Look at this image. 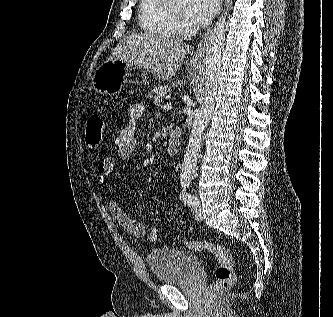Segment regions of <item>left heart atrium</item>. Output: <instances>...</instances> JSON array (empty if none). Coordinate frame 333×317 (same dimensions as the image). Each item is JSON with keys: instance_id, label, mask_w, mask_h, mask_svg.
<instances>
[{"instance_id": "1", "label": "left heart atrium", "mask_w": 333, "mask_h": 317, "mask_svg": "<svg viewBox=\"0 0 333 317\" xmlns=\"http://www.w3.org/2000/svg\"><path fill=\"white\" fill-rule=\"evenodd\" d=\"M217 10V0H188L184 10L186 21L196 27L206 25Z\"/></svg>"}]
</instances>
